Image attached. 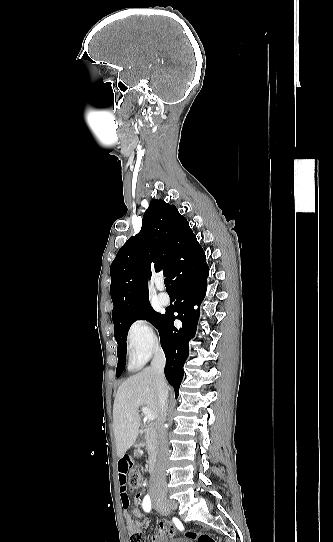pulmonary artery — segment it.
<instances>
[{"mask_svg": "<svg viewBox=\"0 0 333 542\" xmlns=\"http://www.w3.org/2000/svg\"><path fill=\"white\" fill-rule=\"evenodd\" d=\"M161 290H162V289H159V291H161ZM168 303H169V302L166 301V300H161V304H162V305H168Z\"/></svg>", "mask_w": 333, "mask_h": 542, "instance_id": "pulmonary-artery-1", "label": "pulmonary artery"}]
</instances>
